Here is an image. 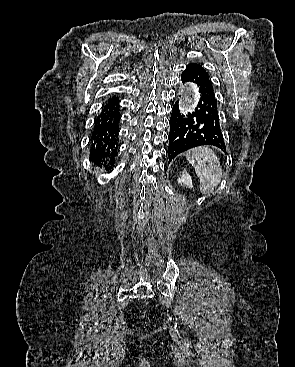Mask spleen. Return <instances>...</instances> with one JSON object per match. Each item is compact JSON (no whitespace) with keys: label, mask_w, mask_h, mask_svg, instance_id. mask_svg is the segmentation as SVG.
<instances>
[{"label":"spleen","mask_w":295,"mask_h":367,"mask_svg":"<svg viewBox=\"0 0 295 367\" xmlns=\"http://www.w3.org/2000/svg\"><path fill=\"white\" fill-rule=\"evenodd\" d=\"M185 158L200 180L201 192L204 195L211 194L222 177V168L216 154L208 147L200 146L187 151Z\"/></svg>","instance_id":"obj_1"}]
</instances>
